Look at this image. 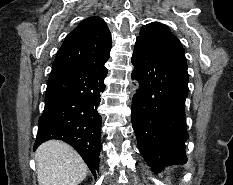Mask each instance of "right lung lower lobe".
Segmentation results:
<instances>
[{
	"label": "right lung lower lobe",
	"mask_w": 233,
	"mask_h": 185,
	"mask_svg": "<svg viewBox=\"0 0 233 185\" xmlns=\"http://www.w3.org/2000/svg\"><path fill=\"white\" fill-rule=\"evenodd\" d=\"M106 75L104 65L51 72L34 149L49 139L63 140L79 152L96 177L101 151L97 107Z\"/></svg>",
	"instance_id": "right-lung-lower-lobe-1"
}]
</instances>
